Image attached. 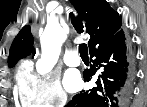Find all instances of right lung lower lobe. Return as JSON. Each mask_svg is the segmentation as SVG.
Masks as SVG:
<instances>
[{
    "mask_svg": "<svg viewBox=\"0 0 147 107\" xmlns=\"http://www.w3.org/2000/svg\"><path fill=\"white\" fill-rule=\"evenodd\" d=\"M93 65L84 81L99 73L96 87L75 95L66 107H125L131 94L134 69L122 30L90 50Z\"/></svg>",
    "mask_w": 147,
    "mask_h": 107,
    "instance_id": "obj_1",
    "label": "right lung lower lobe"
}]
</instances>
